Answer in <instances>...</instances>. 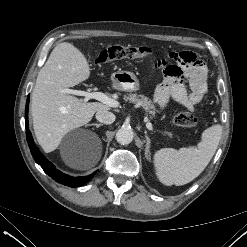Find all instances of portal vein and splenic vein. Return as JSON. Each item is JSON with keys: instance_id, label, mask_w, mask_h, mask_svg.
<instances>
[{"instance_id": "18ae733b", "label": "portal vein and splenic vein", "mask_w": 247, "mask_h": 247, "mask_svg": "<svg viewBox=\"0 0 247 247\" xmlns=\"http://www.w3.org/2000/svg\"><path fill=\"white\" fill-rule=\"evenodd\" d=\"M64 93H68V94H73V95H77V96H84V101L87 102L89 99H96L100 102H102L103 104H106L110 107H118L119 106V102L110 98L109 96H107L106 94L102 93V92H85V91H80V90H73V89H64L63 90ZM146 127L147 129H149L150 131H153V126L152 124L147 121L146 122ZM166 134H168L170 137H172V134L169 132H166Z\"/></svg>"}]
</instances>
